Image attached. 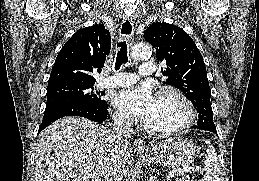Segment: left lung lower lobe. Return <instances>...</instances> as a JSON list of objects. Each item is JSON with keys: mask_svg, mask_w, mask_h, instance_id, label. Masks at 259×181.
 Here are the masks:
<instances>
[{"mask_svg": "<svg viewBox=\"0 0 259 181\" xmlns=\"http://www.w3.org/2000/svg\"><path fill=\"white\" fill-rule=\"evenodd\" d=\"M192 128L203 129V128H200L199 126H193ZM204 130H206V129H204ZM208 131L213 132V133H215L217 135V131L216 130H208Z\"/></svg>", "mask_w": 259, "mask_h": 181, "instance_id": "left-lung-lower-lobe-1", "label": "left lung lower lobe"}]
</instances>
